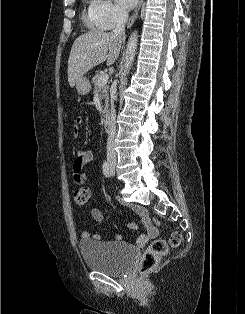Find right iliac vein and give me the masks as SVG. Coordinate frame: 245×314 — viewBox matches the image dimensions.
Wrapping results in <instances>:
<instances>
[{
    "label": "right iliac vein",
    "instance_id": "1",
    "mask_svg": "<svg viewBox=\"0 0 245 314\" xmlns=\"http://www.w3.org/2000/svg\"><path fill=\"white\" fill-rule=\"evenodd\" d=\"M110 167H111V169H115V164L114 163H110Z\"/></svg>",
    "mask_w": 245,
    "mask_h": 314
}]
</instances>
